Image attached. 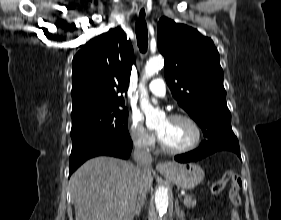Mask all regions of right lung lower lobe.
I'll return each instance as SVG.
<instances>
[{"instance_id": "obj_1", "label": "right lung lower lobe", "mask_w": 281, "mask_h": 220, "mask_svg": "<svg viewBox=\"0 0 281 220\" xmlns=\"http://www.w3.org/2000/svg\"><path fill=\"white\" fill-rule=\"evenodd\" d=\"M133 143L130 140L88 141L72 146L70 155L69 175H71L86 160L101 156H114L127 159L130 156Z\"/></svg>"}]
</instances>
